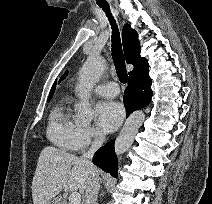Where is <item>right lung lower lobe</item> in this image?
<instances>
[{
  "mask_svg": "<svg viewBox=\"0 0 212 204\" xmlns=\"http://www.w3.org/2000/svg\"><path fill=\"white\" fill-rule=\"evenodd\" d=\"M151 83L149 67L143 68L135 75L129 77L128 87L124 93L126 116L150 104L153 94ZM114 141L108 142L94 154L93 163L103 171L117 177V157L114 152Z\"/></svg>",
  "mask_w": 212,
  "mask_h": 204,
  "instance_id": "obj_1",
  "label": "right lung lower lobe"
}]
</instances>
